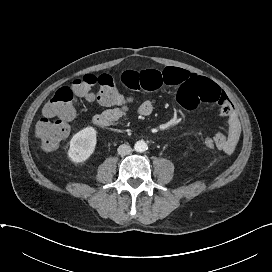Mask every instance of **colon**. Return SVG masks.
I'll return each instance as SVG.
<instances>
[{
  "mask_svg": "<svg viewBox=\"0 0 272 272\" xmlns=\"http://www.w3.org/2000/svg\"><path fill=\"white\" fill-rule=\"evenodd\" d=\"M77 98L87 101L97 100L106 107L128 108L132 102L130 96L118 91L111 75L86 74L75 79L71 86L59 88L43 107V117L35 126V134L40 139L44 150H56L61 141L67 137L69 133L68 122L75 115ZM204 145L208 149L215 148V142L210 137L204 140Z\"/></svg>",
  "mask_w": 272,
  "mask_h": 272,
  "instance_id": "1",
  "label": "colon"
}]
</instances>
